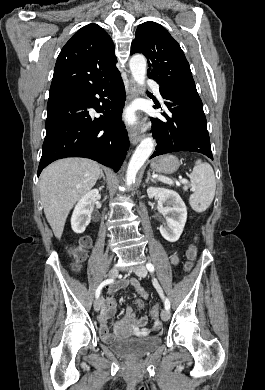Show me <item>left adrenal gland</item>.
Wrapping results in <instances>:
<instances>
[{
    "mask_svg": "<svg viewBox=\"0 0 265 390\" xmlns=\"http://www.w3.org/2000/svg\"><path fill=\"white\" fill-rule=\"evenodd\" d=\"M149 180H151L152 182H156V180L151 177L150 171L147 172V179L145 180V183H148Z\"/></svg>",
    "mask_w": 265,
    "mask_h": 390,
    "instance_id": "1",
    "label": "left adrenal gland"
}]
</instances>
